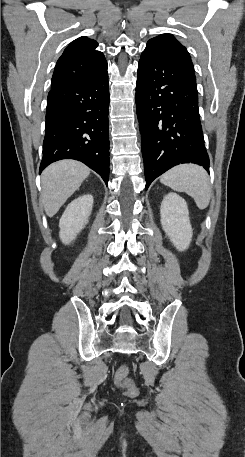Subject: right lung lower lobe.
<instances>
[{
	"instance_id": "98d812e1",
	"label": "right lung lower lobe",
	"mask_w": 245,
	"mask_h": 457,
	"mask_svg": "<svg viewBox=\"0 0 245 457\" xmlns=\"http://www.w3.org/2000/svg\"><path fill=\"white\" fill-rule=\"evenodd\" d=\"M108 107L107 68L52 87L40 173L52 162L75 159L96 171L108 185Z\"/></svg>"
}]
</instances>
